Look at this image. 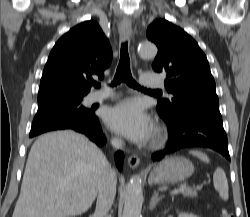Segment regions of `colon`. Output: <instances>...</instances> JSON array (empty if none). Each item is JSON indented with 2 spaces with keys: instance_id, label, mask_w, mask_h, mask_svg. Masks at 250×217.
I'll return each mask as SVG.
<instances>
[{
  "instance_id": "1",
  "label": "colon",
  "mask_w": 250,
  "mask_h": 217,
  "mask_svg": "<svg viewBox=\"0 0 250 217\" xmlns=\"http://www.w3.org/2000/svg\"><path fill=\"white\" fill-rule=\"evenodd\" d=\"M221 217H232V213L227 207H223L221 209Z\"/></svg>"
}]
</instances>
